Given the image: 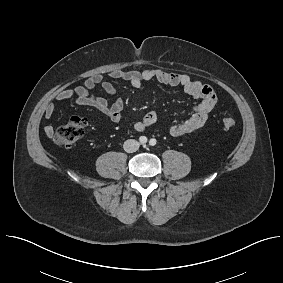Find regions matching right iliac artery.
Here are the masks:
<instances>
[{
    "mask_svg": "<svg viewBox=\"0 0 283 283\" xmlns=\"http://www.w3.org/2000/svg\"><path fill=\"white\" fill-rule=\"evenodd\" d=\"M139 141H140L141 144H146L147 143V137L141 136V137H139Z\"/></svg>",
    "mask_w": 283,
    "mask_h": 283,
    "instance_id": "right-iliac-artery-1",
    "label": "right iliac artery"
}]
</instances>
